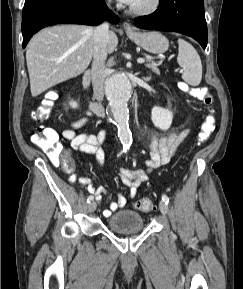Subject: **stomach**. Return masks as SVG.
Listing matches in <instances>:
<instances>
[{
    "label": "stomach",
    "instance_id": "0dacf381",
    "mask_svg": "<svg viewBox=\"0 0 243 289\" xmlns=\"http://www.w3.org/2000/svg\"><path fill=\"white\" fill-rule=\"evenodd\" d=\"M128 37L149 53H164L169 47L168 39L157 31L128 33Z\"/></svg>",
    "mask_w": 243,
    "mask_h": 289
}]
</instances>
